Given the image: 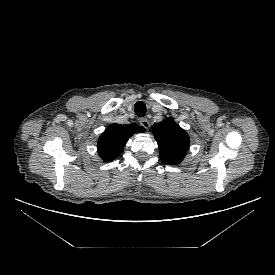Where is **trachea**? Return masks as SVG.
I'll return each instance as SVG.
<instances>
[{"mask_svg":"<svg viewBox=\"0 0 275 275\" xmlns=\"http://www.w3.org/2000/svg\"><path fill=\"white\" fill-rule=\"evenodd\" d=\"M146 110H147L146 104L142 101L137 102L134 106L135 114L138 117H144L146 114Z\"/></svg>","mask_w":275,"mask_h":275,"instance_id":"obj_1","label":"trachea"}]
</instances>
